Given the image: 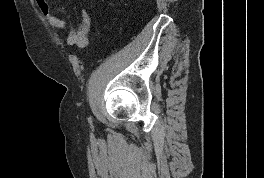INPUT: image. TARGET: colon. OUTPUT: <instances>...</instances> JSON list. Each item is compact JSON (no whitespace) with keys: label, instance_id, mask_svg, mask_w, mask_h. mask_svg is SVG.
<instances>
[{"label":"colon","instance_id":"obj_1","mask_svg":"<svg viewBox=\"0 0 264 178\" xmlns=\"http://www.w3.org/2000/svg\"><path fill=\"white\" fill-rule=\"evenodd\" d=\"M91 30V16L88 10L83 9L81 14V21L77 31H71L68 36V44L70 46H77L79 48L85 47L89 42Z\"/></svg>","mask_w":264,"mask_h":178}]
</instances>
